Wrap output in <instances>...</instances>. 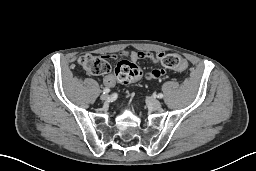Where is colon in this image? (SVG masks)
Here are the masks:
<instances>
[{
	"label": "colon",
	"mask_w": 256,
	"mask_h": 171,
	"mask_svg": "<svg viewBox=\"0 0 256 171\" xmlns=\"http://www.w3.org/2000/svg\"><path fill=\"white\" fill-rule=\"evenodd\" d=\"M163 66L169 69L179 70L184 67L185 61L176 54H166L162 59ZM79 64L88 73L93 75H103L110 71L108 61L101 56L83 55L79 58ZM117 78L124 83H130L141 79L142 69L131 61H121L115 68Z\"/></svg>",
	"instance_id": "5ec220e1"
}]
</instances>
